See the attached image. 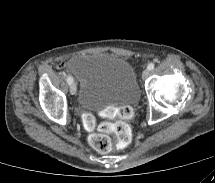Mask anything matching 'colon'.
<instances>
[{
	"instance_id": "5ec220e1",
	"label": "colon",
	"mask_w": 215,
	"mask_h": 183,
	"mask_svg": "<svg viewBox=\"0 0 215 183\" xmlns=\"http://www.w3.org/2000/svg\"><path fill=\"white\" fill-rule=\"evenodd\" d=\"M106 120L98 124V133L90 134L89 144L99 152H108L112 149V142L109 134H115L118 138V149L126 148L132 139L130 121L133 117V109L128 105L117 108H107L103 112ZM84 123L87 127H92L91 117H85Z\"/></svg>"
}]
</instances>
